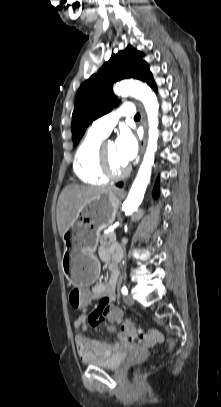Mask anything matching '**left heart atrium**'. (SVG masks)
<instances>
[{"instance_id":"1","label":"left heart atrium","mask_w":221,"mask_h":407,"mask_svg":"<svg viewBox=\"0 0 221 407\" xmlns=\"http://www.w3.org/2000/svg\"><path fill=\"white\" fill-rule=\"evenodd\" d=\"M115 145L117 156L125 165L135 158L138 144L136 138L129 130L124 129L121 131Z\"/></svg>"}]
</instances>
